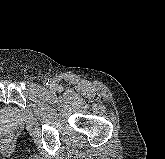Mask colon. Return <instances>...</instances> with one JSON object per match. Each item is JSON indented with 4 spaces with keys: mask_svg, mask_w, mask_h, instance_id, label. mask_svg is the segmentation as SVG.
I'll return each mask as SVG.
<instances>
[{
    "mask_svg": "<svg viewBox=\"0 0 165 159\" xmlns=\"http://www.w3.org/2000/svg\"><path fill=\"white\" fill-rule=\"evenodd\" d=\"M11 135L10 134H3L1 137H0V140L4 143H10L11 142Z\"/></svg>",
    "mask_w": 165,
    "mask_h": 159,
    "instance_id": "5ec220e1",
    "label": "colon"
}]
</instances>
